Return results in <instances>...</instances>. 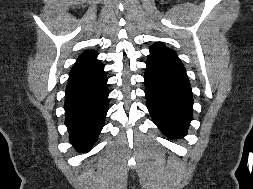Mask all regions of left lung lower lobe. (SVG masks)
Listing matches in <instances>:
<instances>
[{"label":"left lung lower lobe","instance_id":"1","mask_svg":"<svg viewBox=\"0 0 253 189\" xmlns=\"http://www.w3.org/2000/svg\"><path fill=\"white\" fill-rule=\"evenodd\" d=\"M145 94L153 122L170 138L187 134L193 98L186 70L166 62H146Z\"/></svg>","mask_w":253,"mask_h":189}]
</instances>
